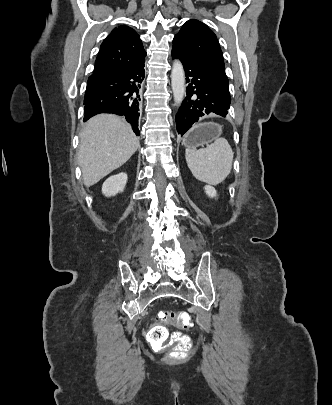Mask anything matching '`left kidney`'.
<instances>
[{
  "label": "left kidney",
  "mask_w": 332,
  "mask_h": 405,
  "mask_svg": "<svg viewBox=\"0 0 332 405\" xmlns=\"http://www.w3.org/2000/svg\"><path fill=\"white\" fill-rule=\"evenodd\" d=\"M204 189H205L206 194H207L209 197H211V198L216 197L217 192H216V190H215L214 187H212V186H205Z\"/></svg>",
  "instance_id": "left-kidney-1"
}]
</instances>
